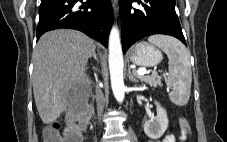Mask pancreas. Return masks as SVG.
<instances>
[{
	"instance_id": "pancreas-1",
	"label": "pancreas",
	"mask_w": 227,
	"mask_h": 142,
	"mask_svg": "<svg viewBox=\"0 0 227 142\" xmlns=\"http://www.w3.org/2000/svg\"><path fill=\"white\" fill-rule=\"evenodd\" d=\"M141 81L147 83L151 87H157L161 86V77L157 74L151 75V76H140L139 77Z\"/></svg>"
}]
</instances>
